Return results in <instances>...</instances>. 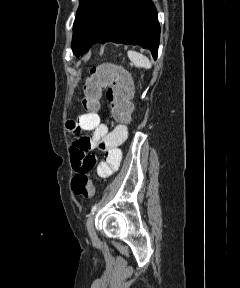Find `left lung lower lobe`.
<instances>
[{
    "label": "left lung lower lobe",
    "mask_w": 240,
    "mask_h": 288,
    "mask_svg": "<svg viewBox=\"0 0 240 288\" xmlns=\"http://www.w3.org/2000/svg\"><path fill=\"white\" fill-rule=\"evenodd\" d=\"M160 26L150 0H109L95 29L75 53L83 55L93 44L112 41L140 45L157 57Z\"/></svg>",
    "instance_id": "obj_1"
}]
</instances>
